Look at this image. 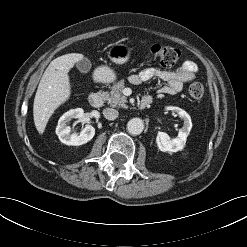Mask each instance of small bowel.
I'll return each mask as SVG.
<instances>
[{"label":"small bowel","instance_id":"c3829d8e","mask_svg":"<svg viewBox=\"0 0 247 247\" xmlns=\"http://www.w3.org/2000/svg\"><path fill=\"white\" fill-rule=\"evenodd\" d=\"M198 66L194 61L186 60L180 67L175 70H161L157 68H145L137 74L130 76L129 80L134 85H139L142 82L152 78H158L165 84L159 89L161 94H176L180 92L183 85L196 78Z\"/></svg>","mask_w":247,"mask_h":247}]
</instances>
